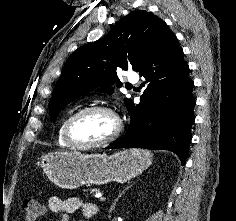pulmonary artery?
<instances>
[{
    "mask_svg": "<svg viewBox=\"0 0 236 221\" xmlns=\"http://www.w3.org/2000/svg\"><path fill=\"white\" fill-rule=\"evenodd\" d=\"M128 80H129L131 83H137L138 80H139V77H138V75H136V74H129V75H128Z\"/></svg>",
    "mask_w": 236,
    "mask_h": 221,
    "instance_id": "e3ab8cb5",
    "label": "pulmonary artery"
}]
</instances>
